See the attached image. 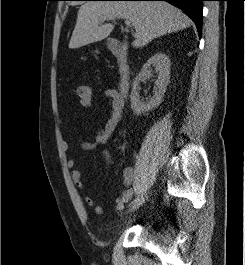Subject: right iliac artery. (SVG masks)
I'll return each instance as SVG.
<instances>
[{"label":"right iliac artery","mask_w":245,"mask_h":265,"mask_svg":"<svg viewBox=\"0 0 245 265\" xmlns=\"http://www.w3.org/2000/svg\"><path fill=\"white\" fill-rule=\"evenodd\" d=\"M117 209H118V210H123V209H124V204L119 203V204L117 205Z\"/></svg>","instance_id":"right-iliac-artery-1"}]
</instances>
